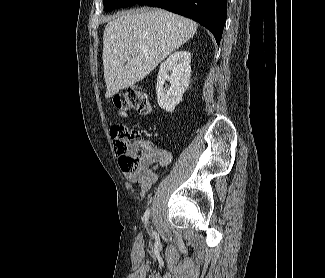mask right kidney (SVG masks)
<instances>
[{"instance_id": "right-kidney-1", "label": "right kidney", "mask_w": 325, "mask_h": 278, "mask_svg": "<svg viewBox=\"0 0 325 278\" xmlns=\"http://www.w3.org/2000/svg\"><path fill=\"white\" fill-rule=\"evenodd\" d=\"M191 55L188 51H177L161 63L156 85L157 102L161 109L172 112L182 100L191 76ZM169 72L171 74L169 75ZM170 82L168 89L165 82Z\"/></svg>"}]
</instances>
